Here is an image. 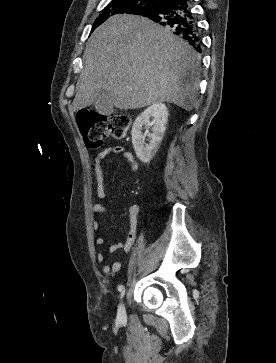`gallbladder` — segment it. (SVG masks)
<instances>
[{
  "mask_svg": "<svg viewBox=\"0 0 276 363\" xmlns=\"http://www.w3.org/2000/svg\"><path fill=\"white\" fill-rule=\"evenodd\" d=\"M94 107L99 114L105 116L111 115L115 110L106 91L100 92L99 97L94 102Z\"/></svg>",
  "mask_w": 276,
  "mask_h": 363,
  "instance_id": "obj_1",
  "label": "gallbladder"
}]
</instances>
